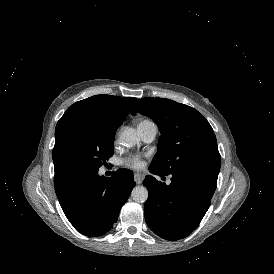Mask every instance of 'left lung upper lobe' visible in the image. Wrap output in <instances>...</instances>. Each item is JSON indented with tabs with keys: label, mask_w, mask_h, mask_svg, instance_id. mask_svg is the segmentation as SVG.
<instances>
[{
	"label": "left lung upper lobe",
	"mask_w": 274,
	"mask_h": 274,
	"mask_svg": "<svg viewBox=\"0 0 274 274\" xmlns=\"http://www.w3.org/2000/svg\"><path fill=\"white\" fill-rule=\"evenodd\" d=\"M150 117L160 128L158 152L150 166L165 174L203 171L218 175L221 157L211 125L194 108L165 98L137 100L131 114Z\"/></svg>",
	"instance_id": "1"
}]
</instances>
